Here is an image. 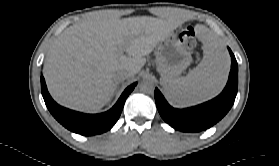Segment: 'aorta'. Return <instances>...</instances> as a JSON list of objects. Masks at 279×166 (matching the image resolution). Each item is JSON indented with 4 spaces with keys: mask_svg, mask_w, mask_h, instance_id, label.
<instances>
[{
    "mask_svg": "<svg viewBox=\"0 0 279 166\" xmlns=\"http://www.w3.org/2000/svg\"><path fill=\"white\" fill-rule=\"evenodd\" d=\"M139 88L141 92L150 94L154 91V84L151 80L145 78L140 82Z\"/></svg>",
    "mask_w": 279,
    "mask_h": 166,
    "instance_id": "1",
    "label": "aorta"
}]
</instances>
